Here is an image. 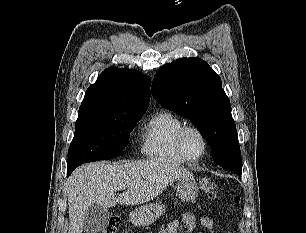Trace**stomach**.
<instances>
[{"mask_svg": "<svg viewBox=\"0 0 306 233\" xmlns=\"http://www.w3.org/2000/svg\"><path fill=\"white\" fill-rule=\"evenodd\" d=\"M198 186L192 175L180 178L177 183L178 196L183 201L194 200L198 196ZM165 212L161 203L146 204L130 213V220L136 226H147L154 223Z\"/></svg>", "mask_w": 306, "mask_h": 233, "instance_id": "0dacf381", "label": "stomach"}]
</instances>
